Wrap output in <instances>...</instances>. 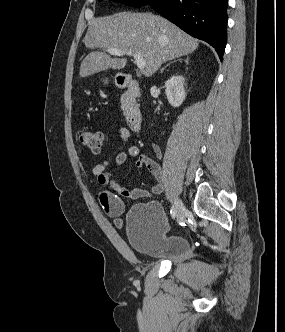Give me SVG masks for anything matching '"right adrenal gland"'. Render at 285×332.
<instances>
[{
    "mask_svg": "<svg viewBox=\"0 0 285 332\" xmlns=\"http://www.w3.org/2000/svg\"><path fill=\"white\" fill-rule=\"evenodd\" d=\"M177 61H184L186 64H188L189 63V58L186 57L185 60H183V59L174 60V61L170 62L169 64H167L164 68H162L160 72L162 73L166 67H168L171 63L177 62Z\"/></svg>",
    "mask_w": 285,
    "mask_h": 332,
    "instance_id": "obj_1",
    "label": "right adrenal gland"
}]
</instances>
